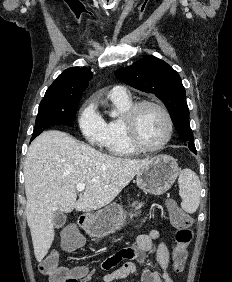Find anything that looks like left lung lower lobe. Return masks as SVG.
<instances>
[{
  "instance_id": "left-lung-lower-lobe-1",
  "label": "left lung lower lobe",
  "mask_w": 232,
  "mask_h": 282,
  "mask_svg": "<svg viewBox=\"0 0 232 282\" xmlns=\"http://www.w3.org/2000/svg\"><path fill=\"white\" fill-rule=\"evenodd\" d=\"M188 147H189V149H190L193 153L196 154V148H195V146H188Z\"/></svg>"
}]
</instances>
